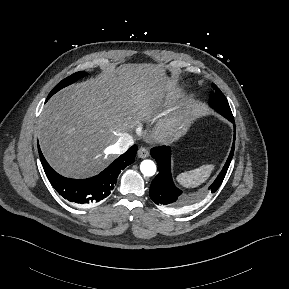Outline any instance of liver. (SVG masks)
<instances>
[{
  "label": "liver",
  "instance_id": "6515ba94",
  "mask_svg": "<svg viewBox=\"0 0 289 289\" xmlns=\"http://www.w3.org/2000/svg\"><path fill=\"white\" fill-rule=\"evenodd\" d=\"M167 82L155 64H122L68 86L44 106L38 124L43 155L69 178L98 174L116 158L121 135L162 104Z\"/></svg>",
  "mask_w": 289,
  "mask_h": 289
}]
</instances>
